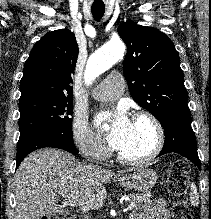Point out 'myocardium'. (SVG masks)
Listing matches in <instances>:
<instances>
[{
	"label": "myocardium",
	"instance_id": "f54148a6",
	"mask_svg": "<svg viewBox=\"0 0 211 219\" xmlns=\"http://www.w3.org/2000/svg\"><path fill=\"white\" fill-rule=\"evenodd\" d=\"M147 121L153 128L155 133V141L151 150L143 156L132 158L123 155L121 152L117 153L118 160L126 165L138 166L154 160L162 151L165 142V132L161 122L158 118L150 112L140 111L134 115V121Z\"/></svg>",
	"mask_w": 211,
	"mask_h": 219
}]
</instances>
